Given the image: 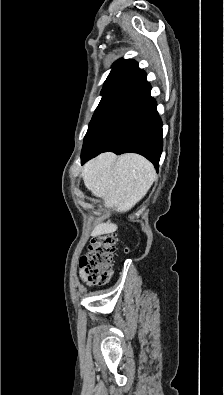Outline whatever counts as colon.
Returning a JSON list of instances; mask_svg holds the SVG:
<instances>
[{
    "mask_svg": "<svg viewBox=\"0 0 224 395\" xmlns=\"http://www.w3.org/2000/svg\"><path fill=\"white\" fill-rule=\"evenodd\" d=\"M115 233H104L94 237L81 258V267L95 283L108 281L112 274V261L116 250Z\"/></svg>",
    "mask_w": 224,
    "mask_h": 395,
    "instance_id": "1",
    "label": "colon"
}]
</instances>
